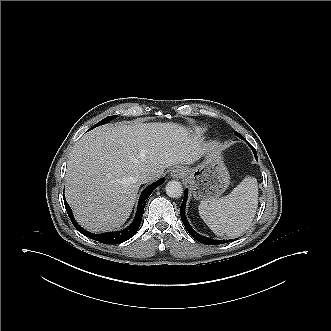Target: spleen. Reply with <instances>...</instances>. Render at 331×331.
Here are the masks:
<instances>
[{"mask_svg": "<svg viewBox=\"0 0 331 331\" xmlns=\"http://www.w3.org/2000/svg\"><path fill=\"white\" fill-rule=\"evenodd\" d=\"M257 180L246 176L230 194L201 200L199 214L217 235L238 237L251 225L258 204Z\"/></svg>", "mask_w": 331, "mask_h": 331, "instance_id": "obj_1", "label": "spleen"}]
</instances>
